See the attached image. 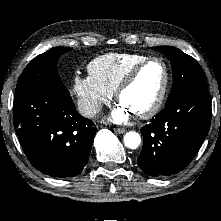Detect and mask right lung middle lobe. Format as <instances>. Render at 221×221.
<instances>
[{
	"instance_id": "right-lung-middle-lobe-1",
	"label": "right lung middle lobe",
	"mask_w": 221,
	"mask_h": 221,
	"mask_svg": "<svg viewBox=\"0 0 221 221\" xmlns=\"http://www.w3.org/2000/svg\"><path fill=\"white\" fill-rule=\"evenodd\" d=\"M71 50L72 48L66 47L52 48L35 57L19 77L14 102L40 91L69 95L68 90L60 80L56 65L59 57Z\"/></svg>"
}]
</instances>
